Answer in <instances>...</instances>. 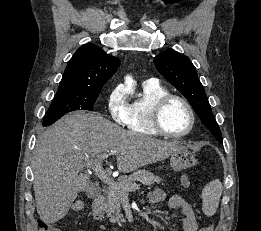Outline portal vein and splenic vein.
I'll list each match as a JSON object with an SVG mask.
<instances>
[{
    "mask_svg": "<svg viewBox=\"0 0 261 231\" xmlns=\"http://www.w3.org/2000/svg\"><path fill=\"white\" fill-rule=\"evenodd\" d=\"M116 151H105L103 154L97 155L95 158H91L87 160V165L88 167H91L97 176L102 180L105 184H107L109 187H115V188H120L118 182H115L110 175L103 169L101 163L105 158H107L109 155L115 154ZM139 186L135 185L131 188H124V191H134L138 190Z\"/></svg>",
    "mask_w": 261,
    "mask_h": 231,
    "instance_id": "18ae733b",
    "label": "portal vein and splenic vein"
}]
</instances>
